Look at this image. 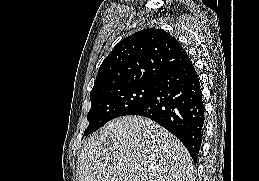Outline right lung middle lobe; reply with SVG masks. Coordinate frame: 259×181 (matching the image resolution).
I'll use <instances>...</instances> for the list:
<instances>
[{"label":"right lung middle lobe","instance_id":"right-lung-middle-lobe-1","mask_svg":"<svg viewBox=\"0 0 259 181\" xmlns=\"http://www.w3.org/2000/svg\"><path fill=\"white\" fill-rule=\"evenodd\" d=\"M153 89V83L134 84L90 95L89 125L84 134L93 133L114 118L130 115L148 100Z\"/></svg>","mask_w":259,"mask_h":181}]
</instances>
